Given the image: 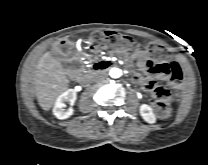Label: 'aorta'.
<instances>
[{
	"mask_svg": "<svg viewBox=\"0 0 208 165\" xmlns=\"http://www.w3.org/2000/svg\"><path fill=\"white\" fill-rule=\"evenodd\" d=\"M109 75L114 79L120 78L122 76V70L120 68L113 67L110 69Z\"/></svg>",
	"mask_w": 208,
	"mask_h": 165,
	"instance_id": "762f6f07",
	"label": "aorta"
}]
</instances>
